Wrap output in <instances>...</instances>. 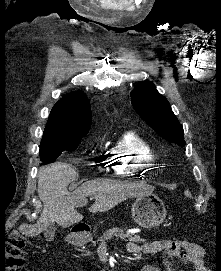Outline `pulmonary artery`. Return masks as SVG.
I'll return each instance as SVG.
<instances>
[{
  "label": "pulmonary artery",
  "instance_id": "obj_1",
  "mask_svg": "<svg viewBox=\"0 0 221 271\" xmlns=\"http://www.w3.org/2000/svg\"><path fill=\"white\" fill-rule=\"evenodd\" d=\"M126 138H135L137 135L135 134V128H128V133H126Z\"/></svg>",
  "mask_w": 221,
  "mask_h": 271
}]
</instances>
